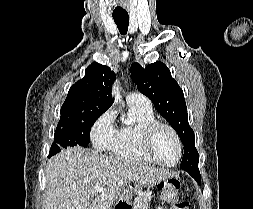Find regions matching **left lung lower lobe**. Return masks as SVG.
Here are the masks:
<instances>
[{"mask_svg":"<svg viewBox=\"0 0 253 209\" xmlns=\"http://www.w3.org/2000/svg\"><path fill=\"white\" fill-rule=\"evenodd\" d=\"M190 175L198 182V184H201V177L199 170H197L195 173H191Z\"/></svg>","mask_w":253,"mask_h":209,"instance_id":"0a47b994","label":"left lung lower lobe"}]
</instances>
